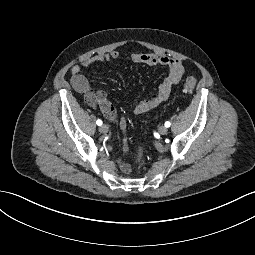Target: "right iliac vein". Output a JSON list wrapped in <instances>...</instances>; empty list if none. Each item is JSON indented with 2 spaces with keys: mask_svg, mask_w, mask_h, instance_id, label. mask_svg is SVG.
Here are the masks:
<instances>
[{
  "mask_svg": "<svg viewBox=\"0 0 255 255\" xmlns=\"http://www.w3.org/2000/svg\"><path fill=\"white\" fill-rule=\"evenodd\" d=\"M108 126L106 125V124H103V125H101L100 127H99V131L101 132V133H107L108 132Z\"/></svg>",
  "mask_w": 255,
  "mask_h": 255,
  "instance_id": "right-iliac-vein-1",
  "label": "right iliac vein"
}]
</instances>
